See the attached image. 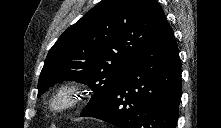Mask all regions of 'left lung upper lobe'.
Returning <instances> with one entry per match:
<instances>
[{
    "mask_svg": "<svg viewBox=\"0 0 221 128\" xmlns=\"http://www.w3.org/2000/svg\"><path fill=\"white\" fill-rule=\"evenodd\" d=\"M166 24L155 0H102L52 46L39 77L38 96L57 82L79 81L93 91L82 113L93 110L114 92Z\"/></svg>",
    "mask_w": 221,
    "mask_h": 128,
    "instance_id": "left-lung-upper-lobe-1",
    "label": "left lung upper lobe"
}]
</instances>
